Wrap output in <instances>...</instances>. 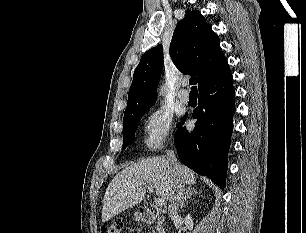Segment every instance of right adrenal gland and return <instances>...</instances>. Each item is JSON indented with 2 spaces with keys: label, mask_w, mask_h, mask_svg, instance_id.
Returning <instances> with one entry per match:
<instances>
[{
  "label": "right adrenal gland",
  "mask_w": 306,
  "mask_h": 233,
  "mask_svg": "<svg viewBox=\"0 0 306 233\" xmlns=\"http://www.w3.org/2000/svg\"><path fill=\"white\" fill-rule=\"evenodd\" d=\"M200 193L201 192H198L197 189H195L194 187L188 186L186 189L185 196L181 200L180 207L183 209L188 199H191L192 196L200 194Z\"/></svg>",
  "instance_id": "1"
}]
</instances>
